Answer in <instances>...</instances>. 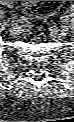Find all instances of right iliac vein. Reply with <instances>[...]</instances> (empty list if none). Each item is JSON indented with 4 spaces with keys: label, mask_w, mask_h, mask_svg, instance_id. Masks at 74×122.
<instances>
[{
    "label": "right iliac vein",
    "mask_w": 74,
    "mask_h": 122,
    "mask_svg": "<svg viewBox=\"0 0 74 122\" xmlns=\"http://www.w3.org/2000/svg\"><path fill=\"white\" fill-rule=\"evenodd\" d=\"M16 26H17V25H15V24L12 25V30H13V31H16V29H17Z\"/></svg>",
    "instance_id": "1"
}]
</instances>
